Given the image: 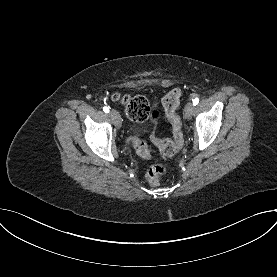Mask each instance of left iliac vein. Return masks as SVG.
Instances as JSON below:
<instances>
[{"mask_svg":"<svg viewBox=\"0 0 277 277\" xmlns=\"http://www.w3.org/2000/svg\"><path fill=\"white\" fill-rule=\"evenodd\" d=\"M194 112V105L192 102H188L184 109V114L187 119H190Z\"/></svg>","mask_w":277,"mask_h":277,"instance_id":"obj_1","label":"left iliac vein"}]
</instances>
